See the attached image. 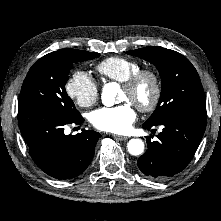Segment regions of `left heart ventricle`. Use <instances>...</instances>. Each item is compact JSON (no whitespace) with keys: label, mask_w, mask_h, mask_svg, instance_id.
<instances>
[{"label":"left heart ventricle","mask_w":221,"mask_h":221,"mask_svg":"<svg viewBox=\"0 0 221 221\" xmlns=\"http://www.w3.org/2000/svg\"><path fill=\"white\" fill-rule=\"evenodd\" d=\"M152 96L151 82L146 79L140 83L134 92H128L125 89H121L120 101H127L132 104H144L147 103Z\"/></svg>","instance_id":"1"}]
</instances>
